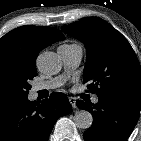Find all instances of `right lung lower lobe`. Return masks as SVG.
Wrapping results in <instances>:
<instances>
[{"label": "right lung lower lobe", "instance_id": "1", "mask_svg": "<svg viewBox=\"0 0 141 141\" xmlns=\"http://www.w3.org/2000/svg\"><path fill=\"white\" fill-rule=\"evenodd\" d=\"M71 109L66 95L57 92L41 102L0 98V141H48L57 119Z\"/></svg>", "mask_w": 141, "mask_h": 141}]
</instances>
